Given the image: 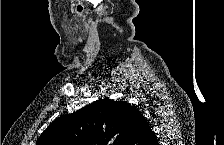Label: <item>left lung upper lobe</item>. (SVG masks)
<instances>
[{"label":"left lung upper lobe","instance_id":"5c2ea615","mask_svg":"<svg viewBox=\"0 0 224 145\" xmlns=\"http://www.w3.org/2000/svg\"><path fill=\"white\" fill-rule=\"evenodd\" d=\"M140 117L134 105L105 98L57 118L37 145H129Z\"/></svg>","mask_w":224,"mask_h":145}]
</instances>
